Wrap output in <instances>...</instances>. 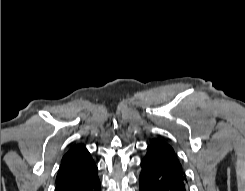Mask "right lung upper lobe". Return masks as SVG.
Instances as JSON below:
<instances>
[{
    "mask_svg": "<svg viewBox=\"0 0 245 191\" xmlns=\"http://www.w3.org/2000/svg\"><path fill=\"white\" fill-rule=\"evenodd\" d=\"M94 165L90 153L82 145H76L63 156L56 184L78 176Z\"/></svg>",
    "mask_w": 245,
    "mask_h": 191,
    "instance_id": "1",
    "label": "right lung upper lobe"
}]
</instances>
